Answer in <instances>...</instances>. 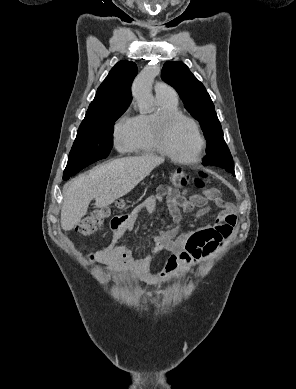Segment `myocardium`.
I'll return each mask as SVG.
<instances>
[{
  "instance_id": "myocardium-1",
  "label": "myocardium",
  "mask_w": 296,
  "mask_h": 389,
  "mask_svg": "<svg viewBox=\"0 0 296 389\" xmlns=\"http://www.w3.org/2000/svg\"><path fill=\"white\" fill-rule=\"evenodd\" d=\"M179 120H186L191 123L199 139L197 153L193 158L190 159H183L176 156L169 147L168 136L170 129L173 124ZM154 137L159 151L171 160L181 164H195L199 162L206 147V139L199 123L193 117L180 111L165 112L159 115L154 123Z\"/></svg>"
}]
</instances>
